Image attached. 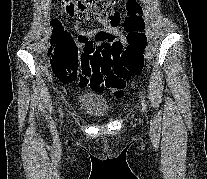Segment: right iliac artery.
Here are the masks:
<instances>
[{"instance_id": "1", "label": "right iliac artery", "mask_w": 207, "mask_h": 179, "mask_svg": "<svg viewBox=\"0 0 207 179\" xmlns=\"http://www.w3.org/2000/svg\"><path fill=\"white\" fill-rule=\"evenodd\" d=\"M59 112H60V116H63V113H62V109L61 108L59 109Z\"/></svg>"}]
</instances>
